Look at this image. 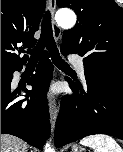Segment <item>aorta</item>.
<instances>
[{
    "label": "aorta",
    "mask_w": 123,
    "mask_h": 152,
    "mask_svg": "<svg viewBox=\"0 0 123 152\" xmlns=\"http://www.w3.org/2000/svg\"><path fill=\"white\" fill-rule=\"evenodd\" d=\"M55 18L58 25L64 29L72 28L76 23V15L71 10H60L57 12ZM45 152H54V150L49 144H46Z\"/></svg>",
    "instance_id": "762f6f07"
}]
</instances>
